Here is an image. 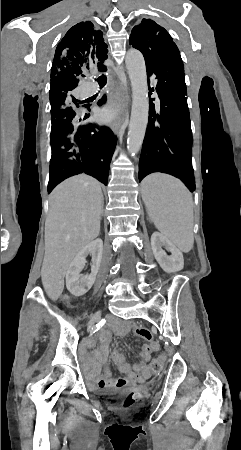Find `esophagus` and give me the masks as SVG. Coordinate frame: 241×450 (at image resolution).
I'll use <instances>...</instances> for the list:
<instances>
[{"instance_id": "1", "label": "esophagus", "mask_w": 241, "mask_h": 450, "mask_svg": "<svg viewBox=\"0 0 241 450\" xmlns=\"http://www.w3.org/2000/svg\"><path fill=\"white\" fill-rule=\"evenodd\" d=\"M109 105L116 113V119L111 122L110 128L115 134H118L124 120L125 90L115 82L109 94Z\"/></svg>"}]
</instances>
